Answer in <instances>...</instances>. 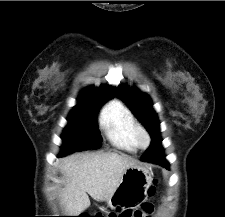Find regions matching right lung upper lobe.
<instances>
[{"mask_svg":"<svg viewBox=\"0 0 225 217\" xmlns=\"http://www.w3.org/2000/svg\"><path fill=\"white\" fill-rule=\"evenodd\" d=\"M115 88L109 85H101L100 87L91 86L81 91L80 98L110 99L115 96Z\"/></svg>","mask_w":225,"mask_h":217,"instance_id":"right-lung-upper-lobe-1","label":"right lung upper lobe"}]
</instances>
